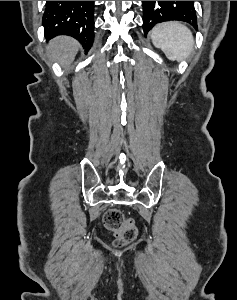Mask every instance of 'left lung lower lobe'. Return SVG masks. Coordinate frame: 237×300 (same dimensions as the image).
I'll return each instance as SVG.
<instances>
[{
  "label": "left lung lower lobe",
  "mask_w": 237,
  "mask_h": 300,
  "mask_svg": "<svg viewBox=\"0 0 237 300\" xmlns=\"http://www.w3.org/2000/svg\"><path fill=\"white\" fill-rule=\"evenodd\" d=\"M149 3L156 5L162 3V1H150ZM171 3L182 5L184 7L191 8L195 11L194 4L192 3V1H171Z\"/></svg>",
  "instance_id": "left-lung-lower-lobe-1"
}]
</instances>
